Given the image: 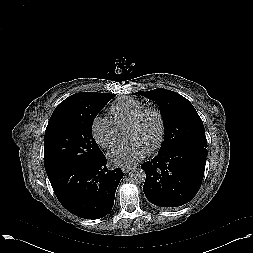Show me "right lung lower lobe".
Returning a JSON list of instances; mask_svg holds the SVG:
<instances>
[{"mask_svg":"<svg viewBox=\"0 0 253 253\" xmlns=\"http://www.w3.org/2000/svg\"><path fill=\"white\" fill-rule=\"evenodd\" d=\"M103 154L89 163H78L47 173L59 202L72 214L99 219L110 213L123 172L109 170Z\"/></svg>","mask_w":253,"mask_h":253,"instance_id":"98d812e1","label":"right lung lower lobe"}]
</instances>
